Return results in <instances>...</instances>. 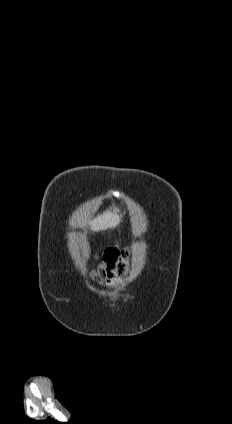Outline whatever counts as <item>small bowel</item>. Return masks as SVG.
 I'll return each mask as SVG.
<instances>
[{
	"label": "small bowel",
	"mask_w": 232,
	"mask_h": 424,
	"mask_svg": "<svg viewBox=\"0 0 232 424\" xmlns=\"http://www.w3.org/2000/svg\"><path fill=\"white\" fill-rule=\"evenodd\" d=\"M117 285V282L115 281H108V282H104L101 286L104 290H107L109 288H113Z\"/></svg>",
	"instance_id": "c3829d8e"
}]
</instances>
